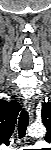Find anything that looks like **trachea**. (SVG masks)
I'll return each mask as SVG.
<instances>
[{"instance_id": "trachea-1", "label": "trachea", "mask_w": 51, "mask_h": 150, "mask_svg": "<svg viewBox=\"0 0 51 150\" xmlns=\"http://www.w3.org/2000/svg\"><path fill=\"white\" fill-rule=\"evenodd\" d=\"M28 123H29L28 111L23 109L20 113L19 124H18L19 138L25 137Z\"/></svg>"}]
</instances>
